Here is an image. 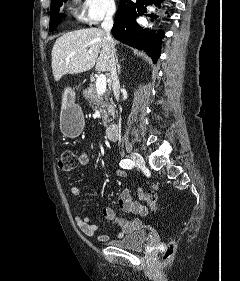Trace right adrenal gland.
<instances>
[{
    "label": "right adrenal gland",
    "instance_id": "right-adrenal-gland-1",
    "mask_svg": "<svg viewBox=\"0 0 240 281\" xmlns=\"http://www.w3.org/2000/svg\"><path fill=\"white\" fill-rule=\"evenodd\" d=\"M116 64H117V71H118V74H119L120 73V69H121V65L118 62V57H116Z\"/></svg>",
    "mask_w": 240,
    "mask_h": 281
}]
</instances>
